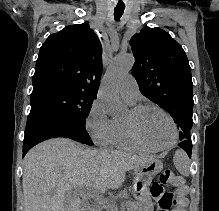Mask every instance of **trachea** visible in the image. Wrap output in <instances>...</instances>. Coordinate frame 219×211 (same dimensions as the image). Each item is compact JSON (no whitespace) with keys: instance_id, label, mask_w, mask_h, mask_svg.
Masks as SVG:
<instances>
[{"instance_id":"3493384b","label":"trachea","mask_w":219,"mask_h":211,"mask_svg":"<svg viewBox=\"0 0 219 211\" xmlns=\"http://www.w3.org/2000/svg\"><path fill=\"white\" fill-rule=\"evenodd\" d=\"M125 5H117L114 9V18L116 21H120V18L124 12Z\"/></svg>"}]
</instances>
